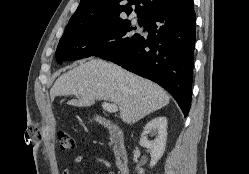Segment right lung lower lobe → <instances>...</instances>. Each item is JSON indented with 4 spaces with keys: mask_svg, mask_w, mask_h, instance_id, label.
I'll return each mask as SVG.
<instances>
[{
    "mask_svg": "<svg viewBox=\"0 0 249 174\" xmlns=\"http://www.w3.org/2000/svg\"><path fill=\"white\" fill-rule=\"evenodd\" d=\"M148 36L131 46L100 58L114 62L165 88L185 117L191 106L196 14L194 4L172 7L144 20Z\"/></svg>",
    "mask_w": 249,
    "mask_h": 174,
    "instance_id": "right-lung-lower-lobe-1",
    "label": "right lung lower lobe"
}]
</instances>
